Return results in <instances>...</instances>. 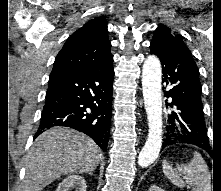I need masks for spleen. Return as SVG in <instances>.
I'll use <instances>...</instances> for the list:
<instances>
[{
    "label": "spleen",
    "mask_w": 221,
    "mask_h": 191,
    "mask_svg": "<svg viewBox=\"0 0 221 191\" xmlns=\"http://www.w3.org/2000/svg\"><path fill=\"white\" fill-rule=\"evenodd\" d=\"M163 173L175 186L179 188L190 185L192 191H211V174L202 156L195 152L187 164H177L173 169L169 163L163 161ZM184 175V179L181 178Z\"/></svg>",
    "instance_id": "1"
}]
</instances>
